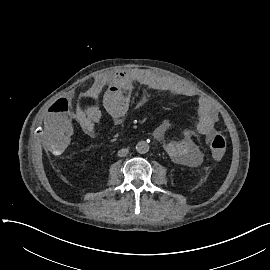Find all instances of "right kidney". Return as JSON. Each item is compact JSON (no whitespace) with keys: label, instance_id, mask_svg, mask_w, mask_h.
<instances>
[{"label":"right kidney","instance_id":"1","mask_svg":"<svg viewBox=\"0 0 270 270\" xmlns=\"http://www.w3.org/2000/svg\"><path fill=\"white\" fill-rule=\"evenodd\" d=\"M74 166H75V167H78L79 164H78L77 162H74Z\"/></svg>","mask_w":270,"mask_h":270}]
</instances>
